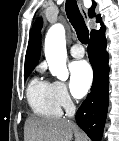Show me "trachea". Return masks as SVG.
<instances>
[{"label": "trachea", "mask_w": 119, "mask_h": 141, "mask_svg": "<svg viewBox=\"0 0 119 141\" xmlns=\"http://www.w3.org/2000/svg\"><path fill=\"white\" fill-rule=\"evenodd\" d=\"M66 14L74 27L79 41L83 44L88 43L89 31L81 15L76 0L66 1Z\"/></svg>", "instance_id": "3493384b"}]
</instances>
